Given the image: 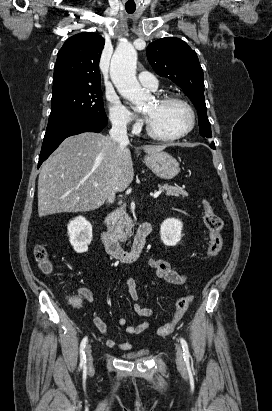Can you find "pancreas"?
I'll return each instance as SVG.
<instances>
[{
    "label": "pancreas",
    "instance_id": "1",
    "mask_svg": "<svg viewBox=\"0 0 272 411\" xmlns=\"http://www.w3.org/2000/svg\"><path fill=\"white\" fill-rule=\"evenodd\" d=\"M161 190L166 191L167 196H175V197H187L188 193L183 189L178 187L169 186V185H162L160 186ZM106 224L108 231L117 239L124 240L126 237V233L124 229L128 227L129 219L126 213L125 208L120 207L112 212L106 218Z\"/></svg>",
    "mask_w": 272,
    "mask_h": 411
}]
</instances>
